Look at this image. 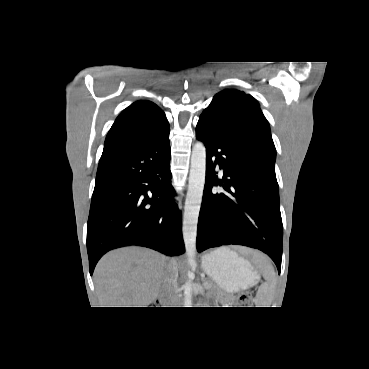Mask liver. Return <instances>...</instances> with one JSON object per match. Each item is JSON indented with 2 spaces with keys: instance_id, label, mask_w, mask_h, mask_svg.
<instances>
[{
  "instance_id": "1",
  "label": "liver",
  "mask_w": 369,
  "mask_h": 369,
  "mask_svg": "<svg viewBox=\"0 0 369 369\" xmlns=\"http://www.w3.org/2000/svg\"><path fill=\"white\" fill-rule=\"evenodd\" d=\"M246 252L253 257L261 256L254 251ZM170 263L178 267L176 259L140 247H125L107 253L94 271L101 305L148 307L158 297Z\"/></svg>"
}]
</instances>
